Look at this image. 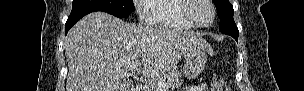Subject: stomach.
I'll return each instance as SVG.
<instances>
[{
	"label": "stomach",
	"instance_id": "obj_1",
	"mask_svg": "<svg viewBox=\"0 0 304 91\" xmlns=\"http://www.w3.org/2000/svg\"><path fill=\"white\" fill-rule=\"evenodd\" d=\"M206 52L210 53L211 51L196 46L184 55L185 65L183 73L187 78H194L204 70L206 65Z\"/></svg>",
	"mask_w": 304,
	"mask_h": 91
}]
</instances>
